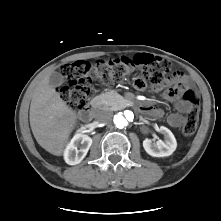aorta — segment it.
I'll return each instance as SVG.
<instances>
[{
    "label": "aorta",
    "instance_id": "1",
    "mask_svg": "<svg viewBox=\"0 0 221 221\" xmlns=\"http://www.w3.org/2000/svg\"><path fill=\"white\" fill-rule=\"evenodd\" d=\"M134 120V113L131 110H125L114 116V124L118 128H124Z\"/></svg>",
    "mask_w": 221,
    "mask_h": 221
}]
</instances>
